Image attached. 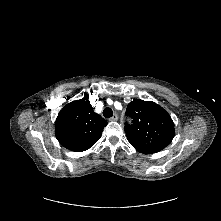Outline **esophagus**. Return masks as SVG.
Here are the masks:
<instances>
[{"label": "esophagus", "mask_w": 221, "mask_h": 221, "mask_svg": "<svg viewBox=\"0 0 221 221\" xmlns=\"http://www.w3.org/2000/svg\"><path fill=\"white\" fill-rule=\"evenodd\" d=\"M109 120L110 121H117L118 120V115L114 114Z\"/></svg>", "instance_id": "1"}]
</instances>
